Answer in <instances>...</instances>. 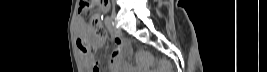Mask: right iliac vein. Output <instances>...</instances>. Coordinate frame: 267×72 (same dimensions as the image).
Here are the masks:
<instances>
[{"instance_id": "63e3f726", "label": "right iliac vein", "mask_w": 267, "mask_h": 72, "mask_svg": "<svg viewBox=\"0 0 267 72\" xmlns=\"http://www.w3.org/2000/svg\"><path fill=\"white\" fill-rule=\"evenodd\" d=\"M112 19H113L114 21H116V13H115V12H112Z\"/></svg>"}]
</instances>
